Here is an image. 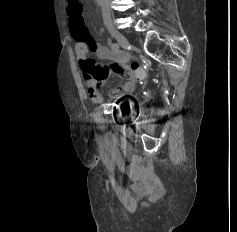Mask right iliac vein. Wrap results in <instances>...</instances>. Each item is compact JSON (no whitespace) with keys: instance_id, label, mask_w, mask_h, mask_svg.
I'll list each match as a JSON object with an SVG mask.
<instances>
[{"instance_id":"63e3f726","label":"right iliac vein","mask_w":237,"mask_h":232,"mask_svg":"<svg viewBox=\"0 0 237 232\" xmlns=\"http://www.w3.org/2000/svg\"><path fill=\"white\" fill-rule=\"evenodd\" d=\"M108 31L124 49L130 48V44L126 39V37L122 33H120L117 29H115L112 26H109Z\"/></svg>"}]
</instances>
